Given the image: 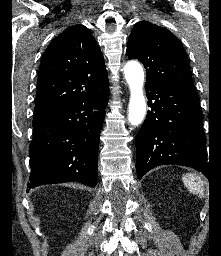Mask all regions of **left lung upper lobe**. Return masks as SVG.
<instances>
[{
  "instance_id": "5c2ea615",
  "label": "left lung upper lobe",
  "mask_w": 221,
  "mask_h": 256,
  "mask_svg": "<svg viewBox=\"0 0 221 256\" xmlns=\"http://www.w3.org/2000/svg\"><path fill=\"white\" fill-rule=\"evenodd\" d=\"M127 56L144 65L146 84L194 89L185 50L178 38L165 28L148 21L138 22L128 40Z\"/></svg>"
}]
</instances>
